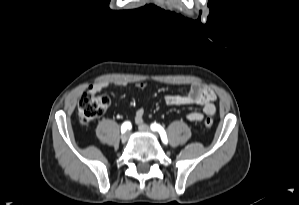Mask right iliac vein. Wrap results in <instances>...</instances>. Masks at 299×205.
<instances>
[{
    "mask_svg": "<svg viewBox=\"0 0 299 205\" xmlns=\"http://www.w3.org/2000/svg\"><path fill=\"white\" fill-rule=\"evenodd\" d=\"M130 133L126 132L124 135H122L121 140L123 143L127 142V140L129 139Z\"/></svg>",
    "mask_w": 299,
    "mask_h": 205,
    "instance_id": "63e3f726",
    "label": "right iliac vein"
}]
</instances>
